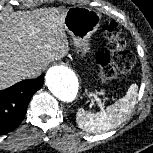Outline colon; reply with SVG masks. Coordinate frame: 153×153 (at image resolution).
Here are the masks:
<instances>
[{
  "label": "colon",
  "mask_w": 153,
  "mask_h": 153,
  "mask_svg": "<svg viewBox=\"0 0 153 153\" xmlns=\"http://www.w3.org/2000/svg\"><path fill=\"white\" fill-rule=\"evenodd\" d=\"M103 30L108 41L115 44L111 50L100 52L96 56V61L101 66L102 78L106 80L130 71L134 61L125 42L120 38L117 24L111 22Z\"/></svg>",
  "instance_id": "5ec220e1"
}]
</instances>
